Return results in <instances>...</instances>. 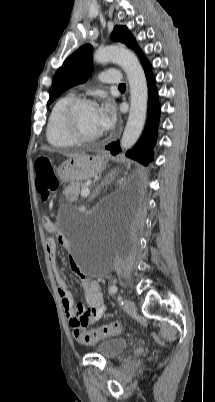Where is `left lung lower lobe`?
Wrapping results in <instances>:
<instances>
[{
  "label": "left lung lower lobe",
  "instance_id": "1",
  "mask_svg": "<svg viewBox=\"0 0 215 402\" xmlns=\"http://www.w3.org/2000/svg\"><path fill=\"white\" fill-rule=\"evenodd\" d=\"M143 67L149 89L147 122L141 138L131 150L127 151L126 155L144 165H147L152 161L154 155L152 149L157 139L160 106L155 87V78L151 71V64L148 60L143 63ZM106 149L110 150L112 154H118L121 150L119 141L109 144L106 146Z\"/></svg>",
  "mask_w": 215,
  "mask_h": 402
}]
</instances>
